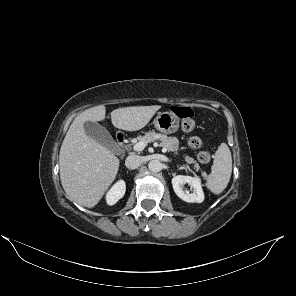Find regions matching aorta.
<instances>
[{"mask_svg": "<svg viewBox=\"0 0 296 296\" xmlns=\"http://www.w3.org/2000/svg\"><path fill=\"white\" fill-rule=\"evenodd\" d=\"M148 168L152 172H159L162 169V163L159 160H151Z\"/></svg>", "mask_w": 296, "mask_h": 296, "instance_id": "1", "label": "aorta"}]
</instances>
